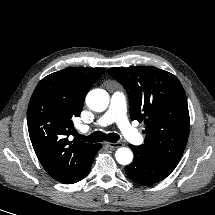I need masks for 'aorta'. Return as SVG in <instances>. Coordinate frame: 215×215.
I'll return each mask as SVG.
<instances>
[{
	"instance_id": "762f6f07",
	"label": "aorta",
	"mask_w": 215,
	"mask_h": 215,
	"mask_svg": "<svg viewBox=\"0 0 215 215\" xmlns=\"http://www.w3.org/2000/svg\"><path fill=\"white\" fill-rule=\"evenodd\" d=\"M86 103L93 111L102 112L108 107L109 95L103 89H94L87 94ZM115 157L119 164L128 165L133 159V154L130 149L122 147L116 151Z\"/></svg>"
}]
</instances>
